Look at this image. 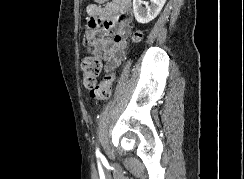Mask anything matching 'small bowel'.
I'll return each instance as SVG.
<instances>
[{
	"label": "small bowel",
	"instance_id": "small-bowel-1",
	"mask_svg": "<svg viewBox=\"0 0 244 179\" xmlns=\"http://www.w3.org/2000/svg\"><path fill=\"white\" fill-rule=\"evenodd\" d=\"M127 1L118 0L88 8V28L84 41L88 51L98 52L103 57L106 72L113 70L124 57L131 30L127 18L130 13Z\"/></svg>",
	"mask_w": 244,
	"mask_h": 179
}]
</instances>
